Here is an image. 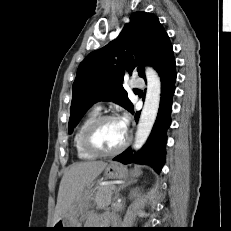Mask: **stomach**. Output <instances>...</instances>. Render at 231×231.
I'll use <instances>...</instances> for the list:
<instances>
[{"label": "stomach", "instance_id": "obj_1", "mask_svg": "<svg viewBox=\"0 0 231 231\" xmlns=\"http://www.w3.org/2000/svg\"><path fill=\"white\" fill-rule=\"evenodd\" d=\"M141 172L137 169L128 172L127 168L119 163H110L106 166L104 176L109 179H125L130 176H139ZM95 189H85L74 201L68 216L61 218L54 225V231H71L77 229L71 228H82L81 227V216L87 212L91 206V201L94 199Z\"/></svg>", "mask_w": 231, "mask_h": 231}]
</instances>
